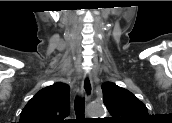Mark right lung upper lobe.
Instances as JSON below:
<instances>
[{"mask_svg": "<svg viewBox=\"0 0 172 123\" xmlns=\"http://www.w3.org/2000/svg\"><path fill=\"white\" fill-rule=\"evenodd\" d=\"M69 90L61 82L41 89L22 110L19 123H64L70 110Z\"/></svg>", "mask_w": 172, "mask_h": 123, "instance_id": "obj_1", "label": "right lung upper lobe"}]
</instances>
